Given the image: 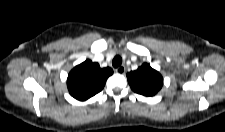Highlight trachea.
I'll return each mask as SVG.
<instances>
[{"label":"trachea","instance_id":"trachea-1","mask_svg":"<svg viewBox=\"0 0 225 132\" xmlns=\"http://www.w3.org/2000/svg\"><path fill=\"white\" fill-rule=\"evenodd\" d=\"M122 64V58L120 56H115L114 59L112 60V65L113 67L117 68Z\"/></svg>","mask_w":225,"mask_h":132}]
</instances>
